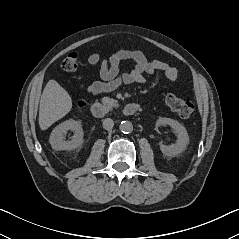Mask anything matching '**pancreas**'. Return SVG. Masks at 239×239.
<instances>
[{
  "label": "pancreas",
  "mask_w": 239,
  "mask_h": 239,
  "mask_svg": "<svg viewBox=\"0 0 239 239\" xmlns=\"http://www.w3.org/2000/svg\"><path fill=\"white\" fill-rule=\"evenodd\" d=\"M102 103L107 106L109 109H112L113 107H118L119 103L117 100L112 99L110 97H104L102 98Z\"/></svg>",
  "instance_id": "cf45deb5"
}]
</instances>
